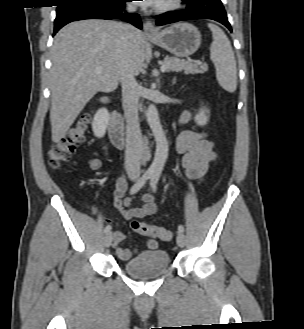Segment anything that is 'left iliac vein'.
Instances as JSON below:
<instances>
[{
    "mask_svg": "<svg viewBox=\"0 0 304 329\" xmlns=\"http://www.w3.org/2000/svg\"><path fill=\"white\" fill-rule=\"evenodd\" d=\"M177 244L179 247H184L185 246V243H186V238H185V235L182 233V232H178L177 234Z\"/></svg>",
    "mask_w": 304,
    "mask_h": 329,
    "instance_id": "4c4485c4",
    "label": "left iliac vein"
}]
</instances>
